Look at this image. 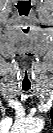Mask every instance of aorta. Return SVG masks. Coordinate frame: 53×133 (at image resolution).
<instances>
[{
	"label": "aorta",
	"mask_w": 53,
	"mask_h": 133,
	"mask_svg": "<svg viewBox=\"0 0 53 133\" xmlns=\"http://www.w3.org/2000/svg\"><path fill=\"white\" fill-rule=\"evenodd\" d=\"M43 127V123L40 119L27 120L18 125V128L22 133H36Z\"/></svg>",
	"instance_id": "762f6f07"
}]
</instances>
